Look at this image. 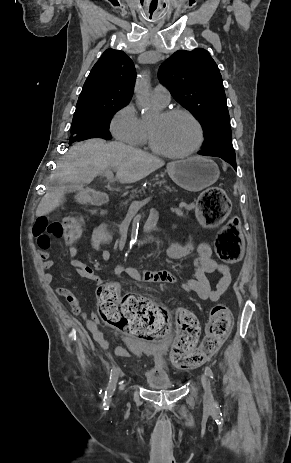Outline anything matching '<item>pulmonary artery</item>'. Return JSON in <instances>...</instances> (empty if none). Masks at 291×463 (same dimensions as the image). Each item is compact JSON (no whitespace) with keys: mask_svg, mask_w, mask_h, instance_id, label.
<instances>
[{"mask_svg":"<svg viewBox=\"0 0 291 463\" xmlns=\"http://www.w3.org/2000/svg\"><path fill=\"white\" fill-rule=\"evenodd\" d=\"M152 97L156 103L162 106L168 104L171 99L169 90L161 84H158L154 87L152 91Z\"/></svg>","mask_w":291,"mask_h":463,"instance_id":"1","label":"pulmonary artery"}]
</instances>
